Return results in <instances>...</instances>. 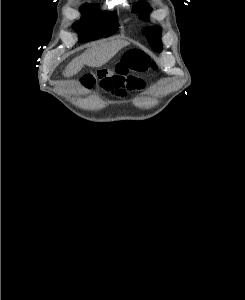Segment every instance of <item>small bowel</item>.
<instances>
[{
  "label": "small bowel",
  "instance_id": "1",
  "mask_svg": "<svg viewBox=\"0 0 245 300\" xmlns=\"http://www.w3.org/2000/svg\"><path fill=\"white\" fill-rule=\"evenodd\" d=\"M99 80V89L117 98H126L128 92L140 90L145 85L141 79L134 76L123 77L111 72L103 74Z\"/></svg>",
  "mask_w": 245,
  "mask_h": 300
}]
</instances>
